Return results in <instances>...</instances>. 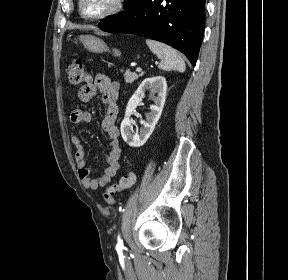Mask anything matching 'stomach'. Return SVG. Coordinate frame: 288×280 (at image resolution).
Masks as SVG:
<instances>
[{
    "label": "stomach",
    "instance_id": "stomach-1",
    "mask_svg": "<svg viewBox=\"0 0 288 280\" xmlns=\"http://www.w3.org/2000/svg\"><path fill=\"white\" fill-rule=\"evenodd\" d=\"M80 40L82 41L84 47L90 52L93 53L110 52V49L107 46V44L98 37H95L93 35H85L81 36ZM112 52L114 56L121 55V52L116 48H113Z\"/></svg>",
    "mask_w": 288,
    "mask_h": 280
}]
</instances>
